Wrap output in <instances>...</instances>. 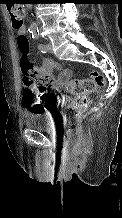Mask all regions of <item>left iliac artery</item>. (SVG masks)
I'll list each match as a JSON object with an SVG mask.
<instances>
[{"instance_id":"left-iliac-artery-1","label":"left iliac artery","mask_w":122,"mask_h":218,"mask_svg":"<svg viewBox=\"0 0 122 218\" xmlns=\"http://www.w3.org/2000/svg\"><path fill=\"white\" fill-rule=\"evenodd\" d=\"M32 38L35 40H38L39 39V32L38 31L32 32ZM38 48L42 53H47V51H48L47 46L45 44H42V43L38 44Z\"/></svg>"}]
</instances>
